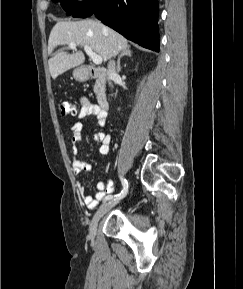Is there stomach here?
I'll return each mask as SVG.
<instances>
[{
	"mask_svg": "<svg viewBox=\"0 0 243 289\" xmlns=\"http://www.w3.org/2000/svg\"><path fill=\"white\" fill-rule=\"evenodd\" d=\"M73 76L78 81H85L88 78L87 73L82 68H76L73 71Z\"/></svg>",
	"mask_w": 243,
	"mask_h": 289,
	"instance_id": "1",
	"label": "stomach"
}]
</instances>
